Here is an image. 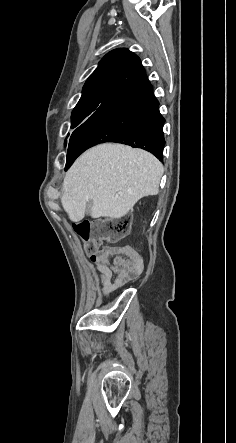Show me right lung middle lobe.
I'll return each instance as SVG.
<instances>
[{"label": "right lung middle lobe", "instance_id": "1", "mask_svg": "<svg viewBox=\"0 0 236 443\" xmlns=\"http://www.w3.org/2000/svg\"><path fill=\"white\" fill-rule=\"evenodd\" d=\"M108 97H96L85 101L81 104H77L72 112V125L71 128L77 127L72 133L69 141V145H71V141L75 136L76 132L80 129V126L85 123L89 117L95 112V110L107 99ZM66 144V141H65ZM69 147V146H68Z\"/></svg>", "mask_w": 236, "mask_h": 443}]
</instances>
